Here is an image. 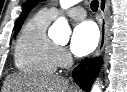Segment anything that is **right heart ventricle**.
<instances>
[{
    "mask_svg": "<svg viewBox=\"0 0 127 92\" xmlns=\"http://www.w3.org/2000/svg\"><path fill=\"white\" fill-rule=\"evenodd\" d=\"M52 20L53 17L42 10L26 22L15 44L14 64L18 71L40 76L57 70L58 47L46 32Z\"/></svg>",
    "mask_w": 127,
    "mask_h": 92,
    "instance_id": "1",
    "label": "right heart ventricle"
}]
</instances>
